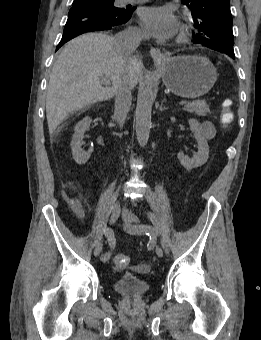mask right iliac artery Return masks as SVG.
<instances>
[{"mask_svg": "<svg viewBox=\"0 0 261 340\" xmlns=\"http://www.w3.org/2000/svg\"><path fill=\"white\" fill-rule=\"evenodd\" d=\"M103 233H104V235H105V237L108 241V244L110 246V250H112L116 245V238H115L114 232L110 228L104 227ZM110 258H111V251L104 252L101 255V261L104 262V263L109 262Z\"/></svg>", "mask_w": 261, "mask_h": 340, "instance_id": "obj_1", "label": "right iliac artery"}]
</instances>
